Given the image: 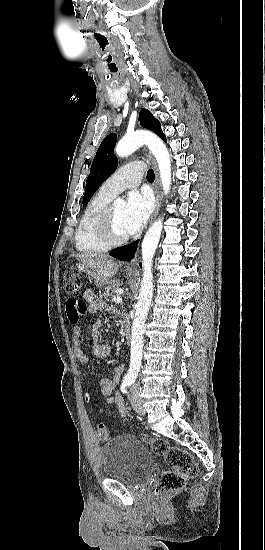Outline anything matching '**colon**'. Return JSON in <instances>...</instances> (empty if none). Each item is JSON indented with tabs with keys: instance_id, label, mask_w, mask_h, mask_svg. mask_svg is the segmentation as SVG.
Instances as JSON below:
<instances>
[{
	"instance_id": "1",
	"label": "colon",
	"mask_w": 265,
	"mask_h": 550,
	"mask_svg": "<svg viewBox=\"0 0 265 550\" xmlns=\"http://www.w3.org/2000/svg\"><path fill=\"white\" fill-rule=\"evenodd\" d=\"M84 287V278L82 275L75 272H67L64 274V288L68 295H76L82 291ZM69 304L76 310L75 313L69 315L71 324H78L79 317L85 304L82 300L74 299ZM88 403L93 401V393H86ZM97 437L100 441H106L109 438L108 428L104 424H99L97 427ZM143 440L151 447L152 451L163 456L168 466L171 468L164 471L157 482L155 494L162 495L170 493L182 488L187 479L193 478L198 473V466L193 457L185 450L170 446L161 438H151L143 436Z\"/></svg>"
}]
</instances>
